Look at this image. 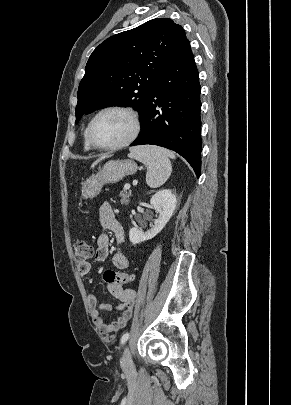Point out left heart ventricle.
Instances as JSON below:
<instances>
[{
    "label": "left heart ventricle",
    "instance_id": "b2bd125f",
    "mask_svg": "<svg viewBox=\"0 0 291 405\" xmlns=\"http://www.w3.org/2000/svg\"><path fill=\"white\" fill-rule=\"evenodd\" d=\"M132 131L130 117L122 112L101 115L92 127L93 140L102 146H110L125 140Z\"/></svg>",
    "mask_w": 291,
    "mask_h": 405
}]
</instances>
